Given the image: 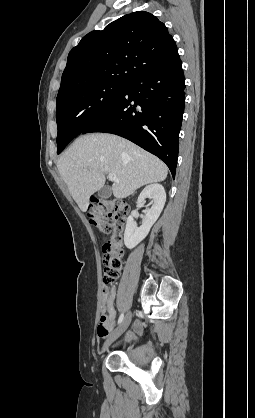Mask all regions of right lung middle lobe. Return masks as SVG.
<instances>
[{
	"label": "right lung middle lobe",
	"instance_id": "right-lung-middle-lobe-1",
	"mask_svg": "<svg viewBox=\"0 0 255 418\" xmlns=\"http://www.w3.org/2000/svg\"><path fill=\"white\" fill-rule=\"evenodd\" d=\"M127 84L98 82L58 94L56 121L57 153L81 134L93 121L105 114Z\"/></svg>",
	"mask_w": 255,
	"mask_h": 418
}]
</instances>
